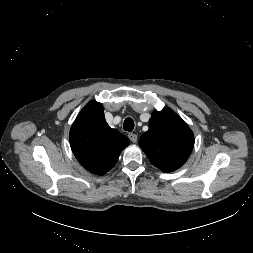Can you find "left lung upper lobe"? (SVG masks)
I'll return each instance as SVG.
<instances>
[{
  "instance_id": "left-lung-upper-lobe-1",
  "label": "left lung upper lobe",
  "mask_w": 253,
  "mask_h": 253,
  "mask_svg": "<svg viewBox=\"0 0 253 253\" xmlns=\"http://www.w3.org/2000/svg\"><path fill=\"white\" fill-rule=\"evenodd\" d=\"M139 145L151 163L163 172L181 167L194 146V135L189 126L170 108L152 113L149 130Z\"/></svg>"
}]
</instances>
